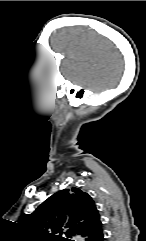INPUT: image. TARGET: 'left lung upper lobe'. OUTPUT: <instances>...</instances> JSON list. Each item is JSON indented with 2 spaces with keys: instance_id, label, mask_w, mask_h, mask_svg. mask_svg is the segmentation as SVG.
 <instances>
[{
  "instance_id": "obj_1",
  "label": "left lung upper lobe",
  "mask_w": 146,
  "mask_h": 241,
  "mask_svg": "<svg viewBox=\"0 0 146 241\" xmlns=\"http://www.w3.org/2000/svg\"><path fill=\"white\" fill-rule=\"evenodd\" d=\"M99 220L92 198L79 188H71L51 195L21 223L36 241H70L61 235H82Z\"/></svg>"
}]
</instances>
